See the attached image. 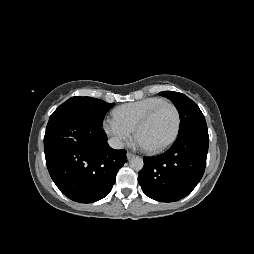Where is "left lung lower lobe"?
<instances>
[{
    "label": "left lung lower lobe",
    "mask_w": 254,
    "mask_h": 254,
    "mask_svg": "<svg viewBox=\"0 0 254 254\" xmlns=\"http://www.w3.org/2000/svg\"><path fill=\"white\" fill-rule=\"evenodd\" d=\"M209 145L208 131L177 137L164 153L144 158L138 182L143 192L160 202L186 197L203 176Z\"/></svg>",
    "instance_id": "0a47b994"
}]
</instances>
